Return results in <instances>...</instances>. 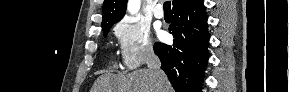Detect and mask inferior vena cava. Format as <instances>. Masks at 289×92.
Returning a JSON list of instances; mask_svg holds the SVG:
<instances>
[{
	"label": "inferior vena cava",
	"instance_id": "1",
	"mask_svg": "<svg viewBox=\"0 0 289 92\" xmlns=\"http://www.w3.org/2000/svg\"><path fill=\"white\" fill-rule=\"evenodd\" d=\"M146 64L147 67L154 72L155 79H156V87L158 91H163V84L166 81V76L164 72L161 70V62L157 55L154 53L152 47H149L147 50V57H146Z\"/></svg>",
	"mask_w": 289,
	"mask_h": 92
}]
</instances>
